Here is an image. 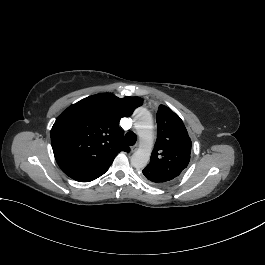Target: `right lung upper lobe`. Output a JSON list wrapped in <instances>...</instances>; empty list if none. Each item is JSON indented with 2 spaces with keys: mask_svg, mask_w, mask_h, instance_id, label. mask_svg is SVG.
<instances>
[{
  "mask_svg": "<svg viewBox=\"0 0 265 265\" xmlns=\"http://www.w3.org/2000/svg\"><path fill=\"white\" fill-rule=\"evenodd\" d=\"M142 104L140 97L101 93L68 107L51 129L53 153L62 171L79 182L103 175L120 151L130 150L122 142L120 119Z\"/></svg>",
  "mask_w": 265,
  "mask_h": 265,
  "instance_id": "cb5924a9",
  "label": "right lung upper lobe"
}]
</instances>
